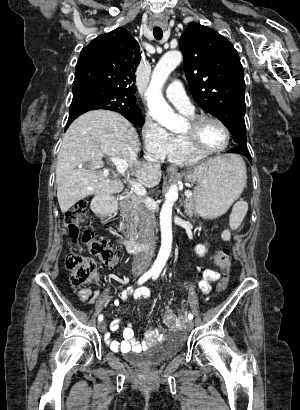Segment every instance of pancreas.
Returning a JSON list of instances; mask_svg holds the SVG:
<instances>
[{"instance_id": "cf45deb5", "label": "pancreas", "mask_w": 300, "mask_h": 410, "mask_svg": "<svg viewBox=\"0 0 300 410\" xmlns=\"http://www.w3.org/2000/svg\"><path fill=\"white\" fill-rule=\"evenodd\" d=\"M143 208V201L136 194L126 196L120 202L121 216L119 231L130 236L137 228L139 223V214ZM196 212L194 198H188L185 201V213L192 216Z\"/></svg>"}]
</instances>
